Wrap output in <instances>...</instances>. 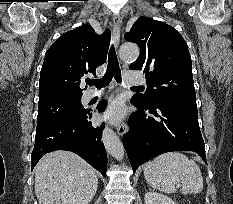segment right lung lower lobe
I'll return each instance as SVG.
<instances>
[{
	"label": "right lung lower lobe",
	"mask_w": 233,
	"mask_h": 204,
	"mask_svg": "<svg viewBox=\"0 0 233 204\" xmlns=\"http://www.w3.org/2000/svg\"><path fill=\"white\" fill-rule=\"evenodd\" d=\"M106 101H101L97 109L104 111ZM91 110H84L71 118H65L36 131L35 146L32 151L31 169L46 153L55 150L72 151L106 176L107 155L101 142L103 128L93 127L89 119Z\"/></svg>",
	"instance_id": "98d812e1"
}]
</instances>
